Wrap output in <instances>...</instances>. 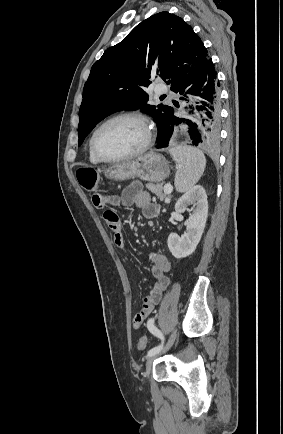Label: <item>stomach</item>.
<instances>
[{"label": "stomach", "mask_w": 283, "mask_h": 434, "mask_svg": "<svg viewBox=\"0 0 283 434\" xmlns=\"http://www.w3.org/2000/svg\"><path fill=\"white\" fill-rule=\"evenodd\" d=\"M169 173L166 159L156 152H149L132 161L115 164L104 172L108 179L115 181L140 178L152 183L163 181L169 176Z\"/></svg>", "instance_id": "stomach-1"}]
</instances>
